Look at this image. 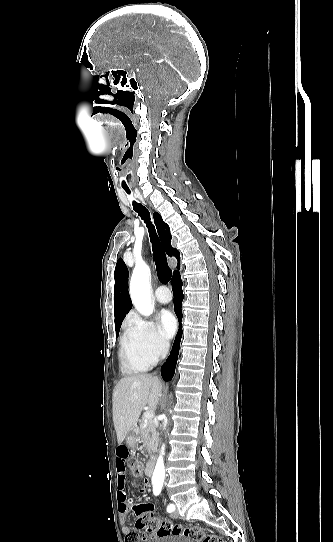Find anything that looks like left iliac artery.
I'll use <instances>...</instances> for the list:
<instances>
[{"mask_svg": "<svg viewBox=\"0 0 333 542\" xmlns=\"http://www.w3.org/2000/svg\"><path fill=\"white\" fill-rule=\"evenodd\" d=\"M162 486H163V483L162 482H158V483H153V493L154 495H159L161 490H162ZM175 510V506L173 504H170L167 508V512L171 513Z\"/></svg>", "mask_w": 333, "mask_h": 542, "instance_id": "left-iliac-artery-1", "label": "left iliac artery"}]
</instances>
